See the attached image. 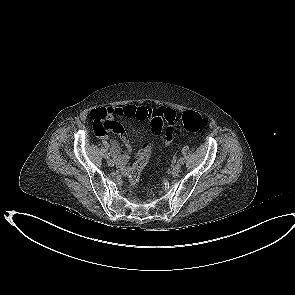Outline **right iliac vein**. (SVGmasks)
<instances>
[{"label": "right iliac vein", "instance_id": "63e3f726", "mask_svg": "<svg viewBox=\"0 0 295 295\" xmlns=\"http://www.w3.org/2000/svg\"><path fill=\"white\" fill-rule=\"evenodd\" d=\"M107 163H108V165L111 166V167H113L114 164H115V162H114L112 159H109V160L107 161Z\"/></svg>", "mask_w": 295, "mask_h": 295}]
</instances>
